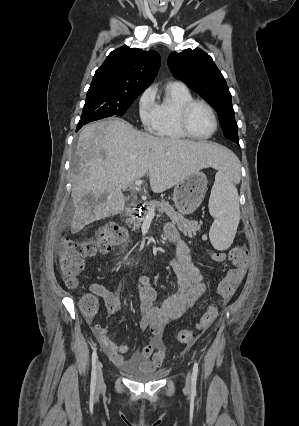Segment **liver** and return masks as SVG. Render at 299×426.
Here are the masks:
<instances>
[{"label": "liver", "instance_id": "obj_1", "mask_svg": "<svg viewBox=\"0 0 299 426\" xmlns=\"http://www.w3.org/2000/svg\"><path fill=\"white\" fill-rule=\"evenodd\" d=\"M236 160L220 144L154 137L122 119L87 125L76 148L71 231L119 214L125 205L122 191L147 173L151 190L162 193L200 169L220 170Z\"/></svg>", "mask_w": 299, "mask_h": 426}]
</instances>
